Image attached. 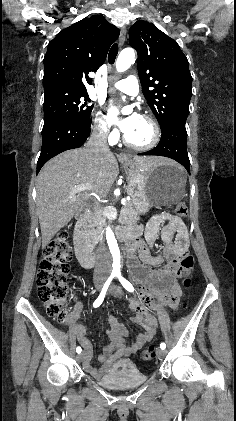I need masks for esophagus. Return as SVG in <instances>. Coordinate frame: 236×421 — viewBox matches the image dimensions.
<instances>
[{
	"instance_id": "esophagus-1",
	"label": "esophagus",
	"mask_w": 236,
	"mask_h": 421,
	"mask_svg": "<svg viewBox=\"0 0 236 421\" xmlns=\"http://www.w3.org/2000/svg\"><path fill=\"white\" fill-rule=\"evenodd\" d=\"M125 38H126V28L122 27L121 31H120V37H119V46H123L124 42H125ZM118 159L119 160H123V161H127L129 160V157L125 154V153H120L118 155Z\"/></svg>"
}]
</instances>
